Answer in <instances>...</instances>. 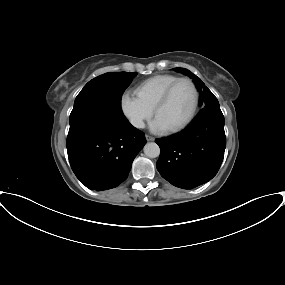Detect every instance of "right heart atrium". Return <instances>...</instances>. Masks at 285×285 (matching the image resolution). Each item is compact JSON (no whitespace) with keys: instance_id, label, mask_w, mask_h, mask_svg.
I'll list each match as a JSON object with an SVG mask.
<instances>
[{"instance_id":"d8ad5b80","label":"right heart atrium","mask_w":285,"mask_h":285,"mask_svg":"<svg viewBox=\"0 0 285 285\" xmlns=\"http://www.w3.org/2000/svg\"><path fill=\"white\" fill-rule=\"evenodd\" d=\"M119 103L123 116L136 129L143 128L145 122L153 115V109L130 91L121 94Z\"/></svg>"}]
</instances>
